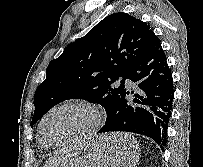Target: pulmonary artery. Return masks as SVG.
I'll use <instances>...</instances> for the list:
<instances>
[{"mask_svg": "<svg viewBox=\"0 0 203 167\" xmlns=\"http://www.w3.org/2000/svg\"><path fill=\"white\" fill-rule=\"evenodd\" d=\"M126 84L128 85V86H131L132 85V82L129 80V79H126Z\"/></svg>", "mask_w": 203, "mask_h": 167, "instance_id": "e3ab8cb5", "label": "pulmonary artery"}]
</instances>
